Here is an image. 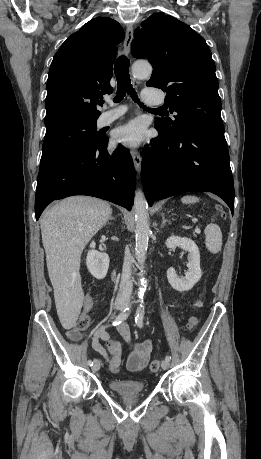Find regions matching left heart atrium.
<instances>
[{
  "mask_svg": "<svg viewBox=\"0 0 261 459\" xmlns=\"http://www.w3.org/2000/svg\"><path fill=\"white\" fill-rule=\"evenodd\" d=\"M114 142L128 147H136L141 144L144 138L143 125L137 121H131L114 132Z\"/></svg>",
  "mask_w": 261,
  "mask_h": 459,
  "instance_id": "obj_1",
  "label": "left heart atrium"
}]
</instances>
